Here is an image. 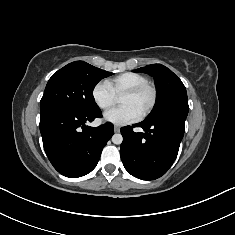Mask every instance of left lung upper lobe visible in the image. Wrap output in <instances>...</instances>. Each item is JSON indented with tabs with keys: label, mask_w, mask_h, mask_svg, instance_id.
I'll return each mask as SVG.
<instances>
[{
	"label": "left lung upper lobe",
	"mask_w": 235,
	"mask_h": 235,
	"mask_svg": "<svg viewBox=\"0 0 235 235\" xmlns=\"http://www.w3.org/2000/svg\"><path fill=\"white\" fill-rule=\"evenodd\" d=\"M134 72H144L153 76L157 87L156 103L145 120L172 115L187 117L189 106L186 88L170 69L161 64H152Z\"/></svg>",
	"instance_id": "5c2ea615"
}]
</instances>
